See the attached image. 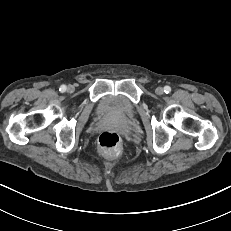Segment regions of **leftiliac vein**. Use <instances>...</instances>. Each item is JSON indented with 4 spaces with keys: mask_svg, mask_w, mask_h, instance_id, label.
Masks as SVG:
<instances>
[{
    "mask_svg": "<svg viewBox=\"0 0 231 231\" xmlns=\"http://www.w3.org/2000/svg\"><path fill=\"white\" fill-rule=\"evenodd\" d=\"M156 94L157 95H163L164 93V90L162 87H157L156 90H155Z\"/></svg>",
    "mask_w": 231,
    "mask_h": 231,
    "instance_id": "4c4485c4",
    "label": "left iliac vein"
}]
</instances>
